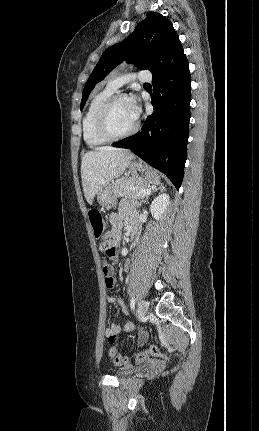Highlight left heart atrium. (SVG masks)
<instances>
[{
    "instance_id": "1",
    "label": "left heart atrium",
    "mask_w": 259,
    "mask_h": 431,
    "mask_svg": "<svg viewBox=\"0 0 259 431\" xmlns=\"http://www.w3.org/2000/svg\"><path fill=\"white\" fill-rule=\"evenodd\" d=\"M127 104L132 116L137 120L141 112L138 98L136 96L129 97L127 99Z\"/></svg>"
}]
</instances>
